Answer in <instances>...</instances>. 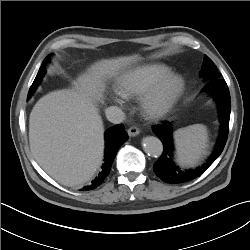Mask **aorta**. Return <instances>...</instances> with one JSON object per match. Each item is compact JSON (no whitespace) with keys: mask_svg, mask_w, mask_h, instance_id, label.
Masks as SVG:
<instances>
[{"mask_svg":"<svg viewBox=\"0 0 250 250\" xmlns=\"http://www.w3.org/2000/svg\"><path fill=\"white\" fill-rule=\"evenodd\" d=\"M142 146L149 156L159 157L163 152V145L159 138L147 136L142 140Z\"/></svg>","mask_w":250,"mask_h":250,"instance_id":"obj_1","label":"aorta"}]
</instances>
